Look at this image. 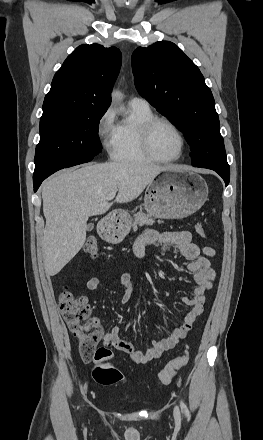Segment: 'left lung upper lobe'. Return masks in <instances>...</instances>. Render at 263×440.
<instances>
[{"label":"left lung upper lobe","instance_id":"5c2ea615","mask_svg":"<svg viewBox=\"0 0 263 440\" xmlns=\"http://www.w3.org/2000/svg\"><path fill=\"white\" fill-rule=\"evenodd\" d=\"M137 91L184 133L194 167L229 170L215 101L198 67L172 42L132 54Z\"/></svg>","mask_w":263,"mask_h":440}]
</instances>
